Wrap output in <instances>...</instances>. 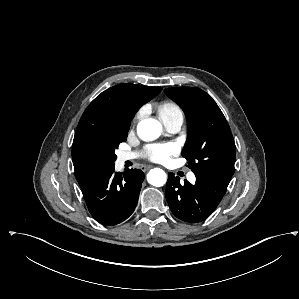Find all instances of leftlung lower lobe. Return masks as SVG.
<instances>
[{
    "label": "left lung lower lobe",
    "instance_id": "left-lung-lower-lobe-1",
    "mask_svg": "<svg viewBox=\"0 0 299 299\" xmlns=\"http://www.w3.org/2000/svg\"><path fill=\"white\" fill-rule=\"evenodd\" d=\"M194 185L180 184L179 177L168 174L166 199L172 213L182 221H204L218 206L227 190V184L207 174H195Z\"/></svg>",
    "mask_w": 299,
    "mask_h": 299
}]
</instances>
